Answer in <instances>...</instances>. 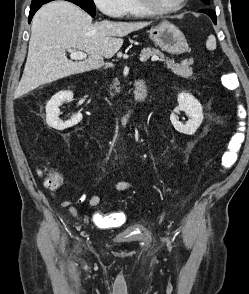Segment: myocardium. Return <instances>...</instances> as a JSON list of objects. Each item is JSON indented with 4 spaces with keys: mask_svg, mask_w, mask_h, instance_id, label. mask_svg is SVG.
I'll use <instances>...</instances> for the list:
<instances>
[{
    "mask_svg": "<svg viewBox=\"0 0 249 294\" xmlns=\"http://www.w3.org/2000/svg\"><path fill=\"white\" fill-rule=\"evenodd\" d=\"M188 0H180L177 5L168 9L156 8L151 0H137L139 6L146 12L147 15L151 16H164L175 13L184 7Z\"/></svg>",
    "mask_w": 249,
    "mask_h": 294,
    "instance_id": "f54148a6",
    "label": "myocardium"
}]
</instances>
